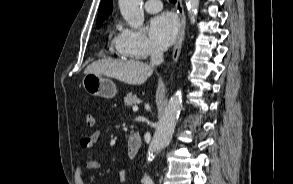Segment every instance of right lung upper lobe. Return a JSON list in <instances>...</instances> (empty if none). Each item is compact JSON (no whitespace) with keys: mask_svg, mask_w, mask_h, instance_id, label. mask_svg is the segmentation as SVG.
<instances>
[{"mask_svg":"<svg viewBox=\"0 0 293 184\" xmlns=\"http://www.w3.org/2000/svg\"><path fill=\"white\" fill-rule=\"evenodd\" d=\"M113 4L112 0H102L97 17V25H101V23L109 16L112 12Z\"/></svg>","mask_w":293,"mask_h":184,"instance_id":"obj_1","label":"right lung upper lobe"}]
</instances>
